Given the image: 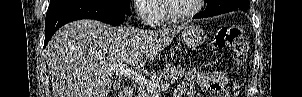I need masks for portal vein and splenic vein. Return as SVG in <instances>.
<instances>
[{
    "instance_id": "portal-vein-and-splenic-vein-1",
    "label": "portal vein and splenic vein",
    "mask_w": 302,
    "mask_h": 97,
    "mask_svg": "<svg viewBox=\"0 0 302 97\" xmlns=\"http://www.w3.org/2000/svg\"><path fill=\"white\" fill-rule=\"evenodd\" d=\"M107 73H119L121 76L130 78L142 86H145L152 94L160 93L162 88L159 84H156L146 79L142 74L129 69L126 64H113L105 67Z\"/></svg>"
}]
</instances>
